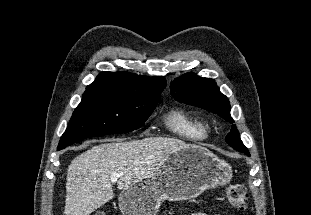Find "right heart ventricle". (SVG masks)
<instances>
[{
  "label": "right heart ventricle",
  "instance_id": "e07e8e85",
  "mask_svg": "<svg viewBox=\"0 0 311 215\" xmlns=\"http://www.w3.org/2000/svg\"><path fill=\"white\" fill-rule=\"evenodd\" d=\"M168 129L179 137L191 141H200L208 136L206 121L185 109L177 108L165 117Z\"/></svg>",
  "mask_w": 311,
  "mask_h": 215
}]
</instances>
